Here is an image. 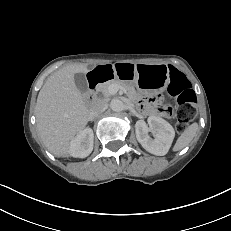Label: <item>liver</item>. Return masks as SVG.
Listing matches in <instances>:
<instances>
[{"label": "liver", "mask_w": 231, "mask_h": 231, "mask_svg": "<svg viewBox=\"0 0 231 231\" xmlns=\"http://www.w3.org/2000/svg\"><path fill=\"white\" fill-rule=\"evenodd\" d=\"M87 64H72L51 74L41 88L35 113L38 132L45 147L56 157L70 155V143L89 121L74 75L87 73Z\"/></svg>", "instance_id": "obj_1"}]
</instances>
